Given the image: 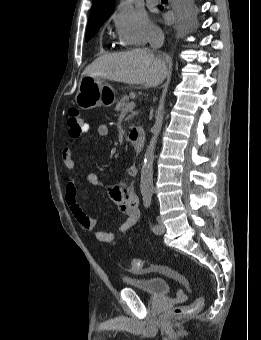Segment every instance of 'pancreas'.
Listing matches in <instances>:
<instances>
[{
  "instance_id": "cf45deb5",
  "label": "pancreas",
  "mask_w": 261,
  "mask_h": 340,
  "mask_svg": "<svg viewBox=\"0 0 261 340\" xmlns=\"http://www.w3.org/2000/svg\"><path fill=\"white\" fill-rule=\"evenodd\" d=\"M129 104V97L128 96H124L122 97L116 107H115V111L119 112V111H123V112H127L128 109H127V106Z\"/></svg>"
}]
</instances>
